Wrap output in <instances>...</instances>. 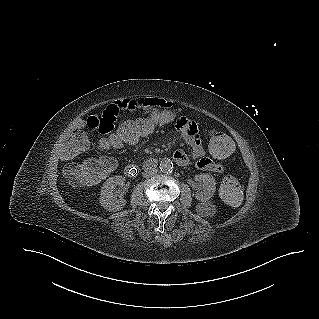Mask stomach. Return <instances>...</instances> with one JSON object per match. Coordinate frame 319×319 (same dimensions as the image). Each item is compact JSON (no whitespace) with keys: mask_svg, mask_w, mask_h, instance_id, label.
Masks as SVG:
<instances>
[{"mask_svg":"<svg viewBox=\"0 0 319 319\" xmlns=\"http://www.w3.org/2000/svg\"><path fill=\"white\" fill-rule=\"evenodd\" d=\"M175 114L169 110L149 111L141 121L143 126L150 127L151 130H158L163 124L172 122Z\"/></svg>","mask_w":319,"mask_h":319,"instance_id":"obj_1","label":"stomach"}]
</instances>
